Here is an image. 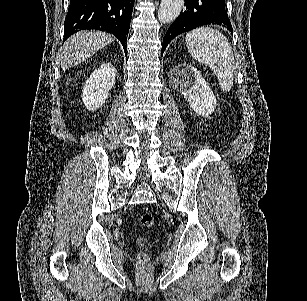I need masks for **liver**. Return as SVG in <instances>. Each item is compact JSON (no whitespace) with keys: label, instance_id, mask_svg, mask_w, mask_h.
Instances as JSON below:
<instances>
[{"label":"liver","instance_id":"obj_1","mask_svg":"<svg viewBox=\"0 0 307 301\" xmlns=\"http://www.w3.org/2000/svg\"><path fill=\"white\" fill-rule=\"evenodd\" d=\"M113 40L115 36L102 30H79L71 34L58 52L62 70L83 62Z\"/></svg>","mask_w":307,"mask_h":301}]
</instances>
